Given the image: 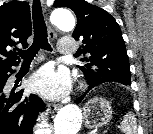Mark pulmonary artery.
<instances>
[{
  "mask_svg": "<svg viewBox=\"0 0 153 134\" xmlns=\"http://www.w3.org/2000/svg\"><path fill=\"white\" fill-rule=\"evenodd\" d=\"M77 45L74 39L70 37H64L59 42L58 51L63 55H70L76 52Z\"/></svg>",
  "mask_w": 153,
  "mask_h": 134,
  "instance_id": "pulmonary-artery-1",
  "label": "pulmonary artery"
}]
</instances>
